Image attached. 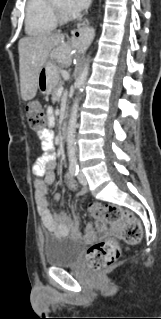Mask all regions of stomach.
<instances>
[{
    "label": "stomach",
    "mask_w": 161,
    "mask_h": 319,
    "mask_svg": "<svg viewBox=\"0 0 161 319\" xmlns=\"http://www.w3.org/2000/svg\"><path fill=\"white\" fill-rule=\"evenodd\" d=\"M69 49L68 44H61L51 51L38 76V88L43 94L51 93L58 84L60 80L59 69L66 65Z\"/></svg>",
    "instance_id": "1"
}]
</instances>
